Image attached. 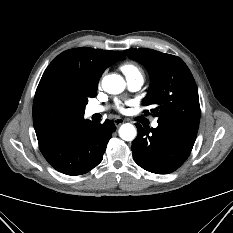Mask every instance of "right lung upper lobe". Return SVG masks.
<instances>
[{
	"mask_svg": "<svg viewBox=\"0 0 233 233\" xmlns=\"http://www.w3.org/2000/svg\"><path fill=\"white\" fill-rule=\"evenodd\" d=\"M124 58L121 52L89 47L59 54L43 73L34 97L33 124L38 142L84 120L83 95L96 94L105 69Z\"/></svg>",
	"mask_w": 233,
	"mask_h": 233,
	"instance_id": "right-lung-upper-lobe-1",
	"label": "right lung upper lobe"
}]
</instances>
